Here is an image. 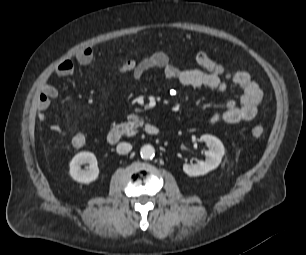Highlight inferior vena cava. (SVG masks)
Listing matches in <instances>:
<instances>
[{
	"label": "inferior vena cava",
	"instance_id": "obj_1",
	"mask_svg": "<svg viewBox=\"0 0 306 255\" xmlns=\"http://www.w3.org/2000/svg\"><path fill=\"white\" fill-rule=\"evenodd\" d=\"M131 149H132V145L129 143H125V142L119 143L116 147L117 153L122 154V155L129 153Z\"/></svg>",
	"mask_w": 306,
	"mask_h": 255
}]
</instances>
